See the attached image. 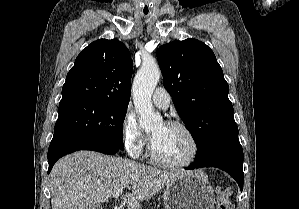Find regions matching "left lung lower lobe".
Masks as SVG:
<instances>
[{
	"mask_svg": "<svg viewBox=\"0 0 299 209\" xmlns=\"http://www.w3.org/2000/svg\"><path fill=\"white\" fill-rule=\"evenodd\" d=\"M216 167L229 173L243 189V150L238 139V127L215 138L208 148L186 169Z\"/></svg>",
	"mask_w": 299,
	"mask_h": 209,
	"instance_id": "1",
	"label": "left lung lower lobe"
}]
</instances>
